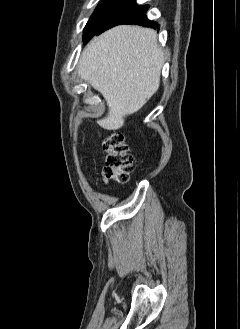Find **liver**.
I'll return each mask as SVG.
<instances>
[{
  "instance_id": "liver-1",
  "label": "liver",
  "mask_w": 240,
  "mask_h": 329,
  "mask_svg": "<svg viewBox=\"0 0 240 329\" xmlns=\"http://www.w3.org/2000/svg\"><path fill=\"white\" fill-rule=\"evenodd\" d=\"M164 53L154 30L135 25L114 27L94 37L84 49L77 71L99 91L108 114L98 120L107 130H117L157 91Z\"/></svg>"
}]
</instances>
